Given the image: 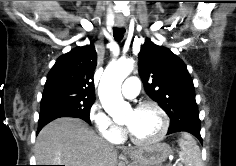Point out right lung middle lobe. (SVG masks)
<instances>
[{
  "mask_svg": "<svg viewBox=\"0 0 236 166\" xmlns=\"http://www.w3.org/2000/svg\"><path fill=\"white\" fill-rule=\"evenodd\" d=\"M95 97L73 95L64 92H49L42 96L39 124L60 117L77 116L90 123V108Z\"/></svg>",
  "mask_w": 236,
  "mask_h": 166,
  "instance_id": "dd1d6c3e",
  "label": "right lung middle lobe"
}]
</instances>
